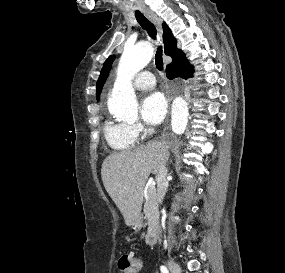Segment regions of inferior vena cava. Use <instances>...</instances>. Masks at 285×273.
I'll list each match as a JSON object with an SVG mask.
<instances>
[{"label": "inferior vena cava", "mask_w": 285, "mask_h": 273, "mask_svg": "<svg viewBox=\"0 0 285 273\" xmlns=\"http://www.w3.org/2000/svg\"><path fill=\"white\" fill-rule=\"evenodd\" d=\"M168 173V169L166 168V163H163L159 169V172L156 176V181H157V194H156V199L157 203L161 204L164 196L167 191L168 187V182L166 179Z\"/></svg>", "instance_id": "602c4592"}]
</instances>
